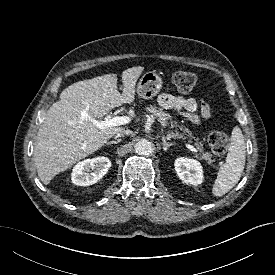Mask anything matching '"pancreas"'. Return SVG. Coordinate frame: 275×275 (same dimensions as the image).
<instances>
[{"label":"pancreas","instance_id":"cf45deb5","mask_svg":"<svg viewBox=\"0 0 275 275\" xmlns=\"http://www.w3.org/2000/svg\"><path fill=\"white\" fill-rule=\"evenodd\" d=\"M146 111L152 114L153 116H156L157 120L160 122L162 126H166L170 123L172 128L179 127L182 132H179L176 129L175 132H171L173 137L186 139L187 135L188 137L192 138L191 132L187 128L179 126L177 122L172 121L171 116L162 109L157 108L154 105H150L149 107H146ZM195 146L200 151V159H203L208 164H211L213 162V160L211 159V154L208 152H204L203 144L198 139L195 140Z\"/></svg>","mask_w":275,"mask_h":275}]
</instances>
